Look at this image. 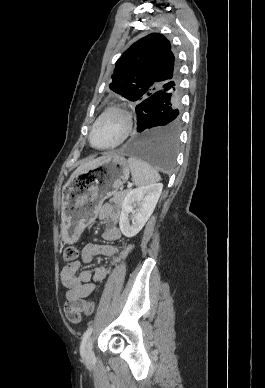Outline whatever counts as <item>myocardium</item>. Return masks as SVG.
I'll return each instance as SVG.
<instances>
[{
  "instance_id": "f54148a6",
  "label": "myocardium",
  "mask_w": 265,
  "mask_h": 388,
  "mask_svg": "<svg viewBox=\"0 0 265 388\" xmlns=\"http://www.w3.org/2000/svg\"><path fill=\"white\" fill-rule=\"evenodd\" d=\"M110 113L118 114L122 118L123 126L121 129V133H120L118 139L114 143L109 144V145H105V146H100L98 148H101V149L115 148V147L121 145L127 139L128 135H129V132H130L131 127H132V118H131V115L129 114V112L123 108H120V107H115V106L109 107L105 111H103L102 114L96 119V121L94 122V124L91 128V131L89 133V136H88L89 141L94 147H97L93 143V133H94L95 127L102 120V118H104L107 114H110Z\"/></svg>"
}]
</instances>
